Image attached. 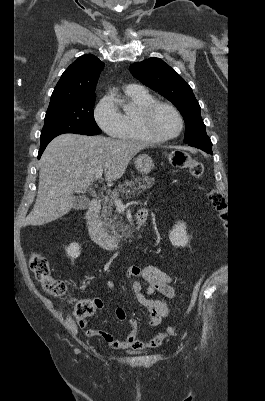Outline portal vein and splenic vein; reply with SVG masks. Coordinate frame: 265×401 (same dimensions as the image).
<instances>
[{
    "mask_svg": "<svg viewBox=\"0 0 265 401\" xmlns=\"http://www.w3.org/2000/svg\"><path fill=\"white\" fill-rule=\"evenodd\" d=\"M103 170H98L97 174H95L96 178H101ZM115 207H120V209H124L123 203L121 201H117V198H115Z\"/></svg>",
    "mask_w": 265,
    "mask_h": 401,
    "instance_id": "obj_1",
    "label": "portal vein and splenic vein"
}]
</instances>
